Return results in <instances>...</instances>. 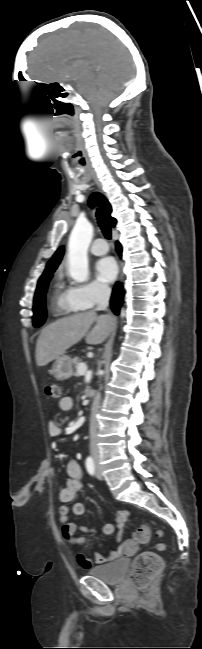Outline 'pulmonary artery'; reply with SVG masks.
<instances>
[{
	"label": "pulmonary artery",
	"instance_id": "pulmonary-artery-1",
	"mask_svg": "<svg viewBox=\"0 0 202 649\" xmlns=\"http://www.w3.org/2000/svg\"><path fill=\"white\" fill-rule=\"evenodd\" d=\"M108 249L109 248L105 240L102 238H98L92 243L90 247V252L93 255H104L108 252Z\"/></svg>",
	"mask_w": 202,
	"mask_h": 649
}]
</instances>
